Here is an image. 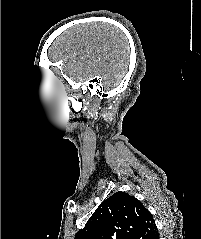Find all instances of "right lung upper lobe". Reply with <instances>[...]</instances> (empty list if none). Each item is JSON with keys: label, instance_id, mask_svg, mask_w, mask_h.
<instances>
[{"label": "right lung upper lobe", "instance_id": "cb5924a9", "mask_svg": "<svg viewBox=\"0 0 201 239\" xmlns=\"http://www.w3.org/2000/svg\"><path fill=\"white\" fill-rule=\"evenodd\" d=\"M150 212L135 197L118 191L105 199L74 239H156Z\"/></svg>", "mask_w": 201, "mask_h": 239}]
</instances>
